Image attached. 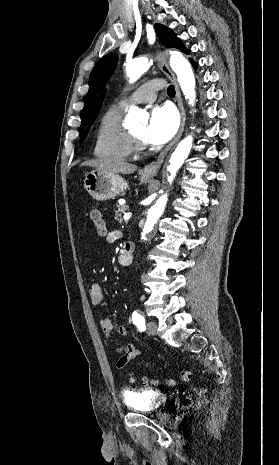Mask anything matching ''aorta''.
<instances>
[{"label": "aorta", "mask_w": 279, "mask_h": 465, "mask_svg": "<svg viewBox=\"0 0 279 465\" xmlns=\"http://www.w3.org/2000/svg\"><path fill=\"white\" fill-rule=\"evenodd\" d=\"M170 66L177 75V80L185 98L188 99L189 104L193 106L196 98L195 77L190 63L180 52H172L170 57ZM148 68V60L144 57L128 62L126 65V74L129 78V82L134 83L137 81L142 76V74L148 70ZM128 117L135 124H139V122L146 120L148 115L138 107L133 106L129 110ZM192 141V136H187L182 141H180L172 153L170 158V165L167 169L170 173V176L168 177L169 182L173 181L177 171L188 158L192 148ZM166 203L167 195L165 194L161 196L156 204L149 209L147 220L142 233V239L145 240L146 235L152 232L154 225L157 223L159 217L164 211Z\"/></svg>", "instance_id": "aorta-1"}]
</instances>
